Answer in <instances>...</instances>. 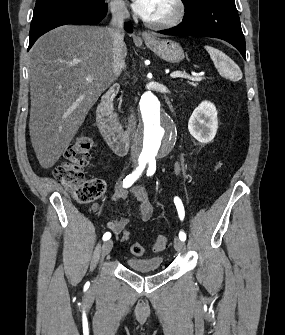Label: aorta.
<instances>
[{
  "mask_svg": "<svg viewBox=\"0 0 285 335\" xmlns=\"http://www.w3.org/2000/svg\"><path fill=\"white\" fill-rule=\"evenodd\" d=\"M139 112H142L141 125L134 128L138 137L142 160H162L173 152L177 137L180 136L176 119H169L166 112L165 95H157L156 90H139Z\"/></svg>",
  "mask_w": 285,
  "mask_h": 335,
  "instance_id": "1",
  "label": "aorta"
}]
</instances>
